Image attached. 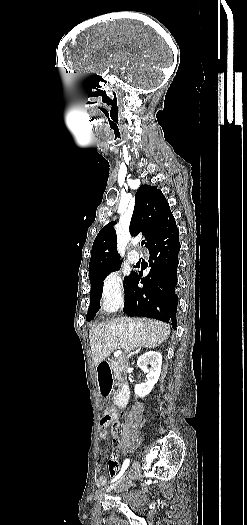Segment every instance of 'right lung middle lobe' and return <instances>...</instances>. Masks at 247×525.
Returning <instances> with one entry per match:
<instances>
[{"instance_id":"obj_1","label":"right lung middle lobe","mask_w":247,"mask_h":525,"mask_svg":"<svg viewBox=\"0 0 247 525\" xmlns=\"http://www.w3.org/2000/svg\"><path fill=\"white\" fill-rule=\"evenodd\" d=\"M117 270H119V268L113 269L107 272H103V273L89 275L90 283H91V292H90V306H89L88 313H87L88 321L92 320L95 317L100 307V298H101L103 280L109 273L113 271H117ZM133 275L134 273H131L129 277H125L124 287L126 286V284L128 283V281Z\"/></svg>"}]
</instances>
